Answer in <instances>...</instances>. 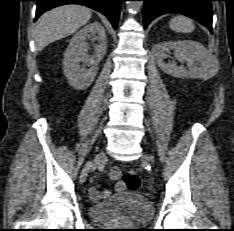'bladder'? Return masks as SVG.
I'll return each instance as SVG.
<instances>
[{
	"label": "bladder",
	"instance_id": "1",
	"mask_svg": "<svg viewBox=\"0 0 234 231\" xmlns=\"http://www.w3.org/2000/svg\"><path fill=\"white\" fill-rule=\"evenodd\" d=\"M90 217L97 222L129 221L145 223L152 217L151 202L139 193H123L111 199L92 205Z\"/></svg>",
	"mask_w": 234,
	"mask_h": 231
}]
</instances>
